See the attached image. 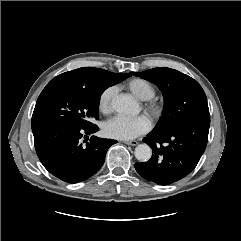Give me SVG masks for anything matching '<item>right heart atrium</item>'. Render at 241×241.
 Listing matches in <instances>:
<instances>
[{"label": "right heart atrium", "mask_w": 241, "mask_h": 241, "mask_svg": "<svg viewBox=\"0 0 241 241\" xmlns=\"http://www.w3.org/2000/svg\"><path fill=\"white\" fill-rule=\"evenodd\" d=\"M116 94V88L109 86L105 88L98 97V109L103 114L111 112L112 100Z\"/></svg>", "instance_id": "obj_1"}]
</instances>
